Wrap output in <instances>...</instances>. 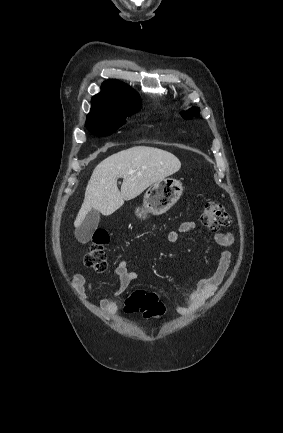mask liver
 Here are the masks:
<instances>
[{"mask_svg": "<svg viewBox=\"0 0 283 433\" xmlns=\"http://www.w3.org/2000/svg\"><path fill=\"white\" fill-rule=\"evenodd\" d=\"M181 162L175 154L154 146H132L107 156L95 166L86 186L83 204L74 221L80 227L91 208L102 214H112L124 204L141 194L147 186L177 172ZM129 170H136L127 174ZM122 176L121 190L117 178Z\"/></svg>", "mask_w": 283, "mask_h": 433, "instance_id": "1", "label": "liver"}]
</instances>
